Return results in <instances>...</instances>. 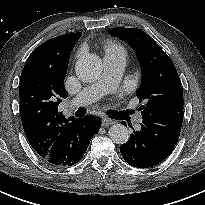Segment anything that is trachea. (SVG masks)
Listing matches in <instances>:
<instances>
[{"instance_id": "3493384b", "label": "trachea", "mask_w": 205, "mask_h": 205, "mask_svg": "<svg viewBox=\"0 0 205 205\" xmlns=\"http://www.w3.org/2000/svg\"><path fill=\"white\" fill-rule=\"evenodd\" d=\"M86 114V111L84 109H78L76 112H75V115L77 117H83L84 115Z\"/></svg>"}]
</instances>
